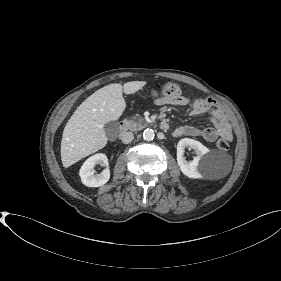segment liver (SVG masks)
I'll return each mask as SVG.
<instances>
[{
  "mask_svg": "<svg viewBox=\"0 0 281 281\" xmlns=\"http://www.w3.org/2000/svg\"><path fill=\"white\" fill-rule=\"evenodd\" d=\"M146 81L113 83L90 95L68 120L61 141V160L65 168L102 149L107 144L104 125L120 118L126 108L125 94L142 89Z\"/></svg>",
  "mask_w": 281,
  "mask_h": 281,
  "instance_id": "6515ba94",
  "label": "liver"
}]
</instances>
